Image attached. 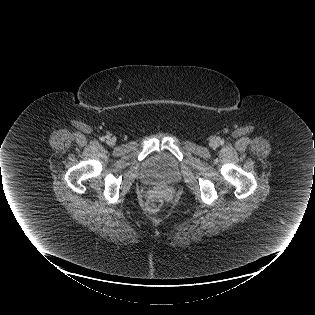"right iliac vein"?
I'll return each mask as SVG.
<instances>
[{"label":"right iliac vein","instance_id":"63e3f726","mask_svg":"<svg viewBox=\"0 0 315 315\" xmlns=\"http://www.w3.org/2000/svg\"><path fill=\"white\" fill-rule=\"evenodd\" d=\"M107 143H108L109 145H114V144H115V140H114V139H108V140H107Z\"/></svg>","mask_w":315,"mask_h":315}]
</instances>
